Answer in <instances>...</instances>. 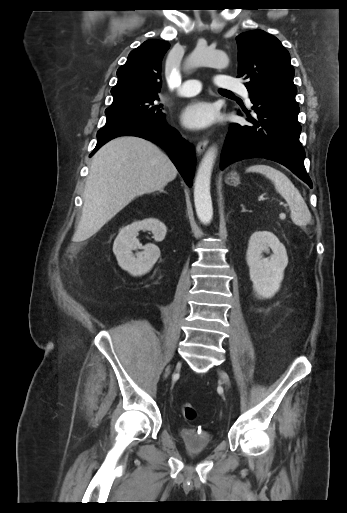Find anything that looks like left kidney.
I'll return each mask as SVG.
<instances>
[{"mask_svg": "<svg viewBox=\"0 0 347 513\" xmlns=\"http://www.w3.org/2000/svg\"><path fill=\"white\" fill-rule=\"evenodd\" d=\"M270 249L273 254L263 257L262 253ZM246 261L255 292L262 298L273 297L280 288L288 264L285 246L271 232H254L248 242Z\"/></svg>", "mask_w": 347, "mask_h": 513, "instance_id": "left-kidney-1", "label": "left kidney"}]
</instances>
